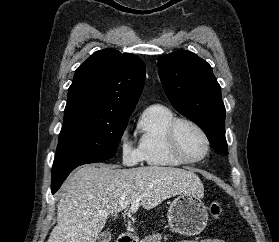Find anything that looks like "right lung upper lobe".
<instances>
[{
  "label": "right lung upper lobe",
  "instance_id": "obj_1",
  "mask_svg": "<svg viewBox=\"0 0 279 242\" xmlns=\"http://www.w3.org/2000/svg\"><path fill=\"white\" fill-rule=\"evenodd\" d=\"M145 80V64L134 54L103 49L77 68L68 90L65 114L98 118L129 117Z\"/></svg>",
  "mask_w": 279,
  "mask_h": 242
}]
</instances>
